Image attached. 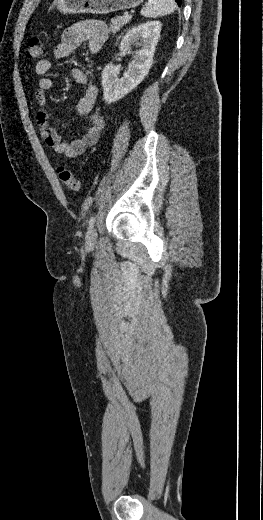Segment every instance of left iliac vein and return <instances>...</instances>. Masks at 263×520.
Here are the masks:
<instances>
[{
    "mask_svg": "<svg viewBox=\"0 0 263 520\" xmlns=\"http://www.w3.org/2000/svg\"><path fill=\"white\" fill-rule=\"evenodd\" d=\"M97 232L95 228L89 229L86 235V245L93 246L96 243Z\"/></svg>",
    "mask_w": 263,
    "mask_h": 520,
    "instance_id": "4c4485c4",
    "label": "left iliac vein"
}]
</instances>
